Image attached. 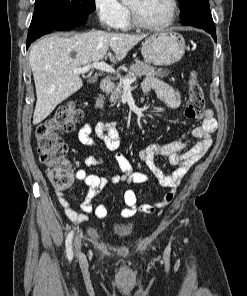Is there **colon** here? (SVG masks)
<instances>
[{
    "mask_svg": "<svg viewBox=\"0 0 247 296\" xmlns=\"http://www.w3.org/2000/svg\"><path fill=\"white\" fill-rule=\"evenodd\" d=\"M205 107L203 89L195 72L188 81V101L185 115L188 119L201 117ZM83 112L73 101L58 107L46 121L36 128L37 151L40 161L47 167V176L58 190L70 187L74 181L69 148L61 137L62 132L71 131L81 122Z\"/></svg>",
    "mask_w": 247,
    "mask_h": 296,
    "instance_id": "colon-1",
    "label": "colon"
}]
</instances>
